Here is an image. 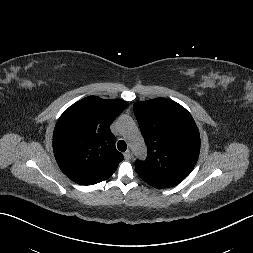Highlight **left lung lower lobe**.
<instances>
[{"instance_id": "left-lung-lower-lobe-1", "label": "left lung lower lobe", "mask_w": 253, "mask_h": 253, "mask_svg": "<svg viewBox=\"0 0 253 253\" xmlns=\"http://www.w3.org/2000/svg\"><path fill=\"white\" fill-rule=\"evenodd\" d=\"M155 188H166V186H156Z\"/></svg>"}]
</instances>
